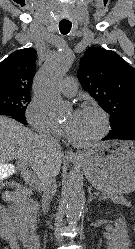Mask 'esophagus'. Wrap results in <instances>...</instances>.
I'll list each match as a JSON object with an SVG mask.
<instances>
[{
	"mask_svg": "<svg viewBox=\"0 0 135 249\" xmlns=\"http://www.w3.org/2000/svg\"><path fill=\"white\" fill-rule=\"evenodd\" d=\"M65 158L67 159H75L78 155L73 150H66L64 153Z\"/></svg>",
	"mask_w": 135,
	"mask_h": 249,
	"instance_id": "34e87169",
	"label": "esophagus"
}]
</instances>
